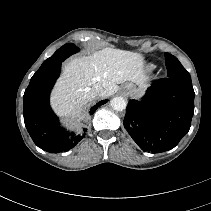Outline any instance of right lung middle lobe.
Masks as SVG:
<instances>
[{
	"instance_id": "1",
	"label": "right lung middle lobe",
	"mask_w": 211,
	"mask_h": 211,
	"mask_svg": "<svg viewBox=\"0 0 211 211\" xmlns=\"http://www.w3.org/2000/svg\"><path fill=\"white\" fill-rule=\"evenodd\" d=\"M78 51L79 48H77L73 43L65 44L61 48H59L51 57L46 59L39 69L45 68L56 63H61L70 55Z\"/></svg>"
}]
</instances>
